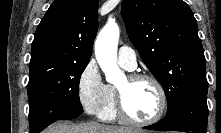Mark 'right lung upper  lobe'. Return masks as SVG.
Here are the masks:
<instances>
[{"label": "right lung upper lobe", "instance_id": "right-lung-upper-lobe-1", "mask_svg": "<svg viewBox=\"0 0 221 133\" xmlns=\"http://www.w3.org/2000/svg\"><path fill=\"white\" fill-rule=\"evenodd\" d=\"M98 28V0H55L35 32L30 74L88 63Z\"/></svg>", "mask_w": 221, "mask_h": 133}]
</instances>
